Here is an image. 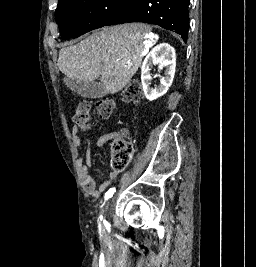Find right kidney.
Segmentation results:
<instances>
[{
  "instance_id": "right-kidney-1",
  "label": "right kidney",
  "mask_w": 256,
  "mask_h": 267,
  "mask_svg": "<svg viewBox=\"0 0 256 267\" xmlns=\"http://www.w3.org/2000/svg\"><path fill=\"white\" fill-rule=\"evenodd\" d=\"M156 64H158L159 70L166 68V74L164 78H161L160 86H157V88H150L152 80L150 70L153 66H156ZM175 68L176 54L172 46H169V44H159V46L152 48L151 52L146 56L141 68V82L147 100L152 102V100H157V98H161V96L166 94L173 82Z\"/></svg>"
}]
</instances>
